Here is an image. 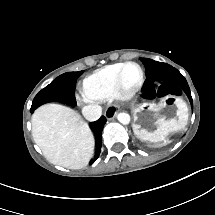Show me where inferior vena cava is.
<instances>
[{
  "label": "inferior vena cava",
  "instance_id": "inferior-vena-cava-1",
  "mask_svg": "<svg viewBox=\"0 0 215 215\" xmlns=\"http://www.w3.org/2000/svg\"><path fill=\"white\" fill-rule=\"evenodd\" d=\"M82 114L88 121H96L102 115V107L96 104L84 106Z\"/></svg>",
  "mask_w": 215,
  "mask_h": 215
}]
</instances>
